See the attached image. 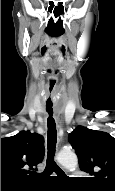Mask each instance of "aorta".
Instances as JSON below:
<instances>
[{"mask_svg":"<svg viewBox=\"0 0 115 191\" xmlns=\"http://www.w3.org/2000/svg\"><path fill=\"white\" fill-rule=\"evenodd\" d=\"M58 162L70 170H74L78 165L76 154L70 151H61L58 154Z\"/></svg>","mask_w":115,"mask_h":191,"instance_id":"aorta-1","label":"aorta"}]
</instances>
